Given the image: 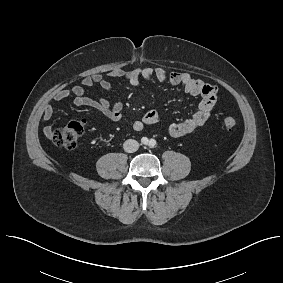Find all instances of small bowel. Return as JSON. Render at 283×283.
<instances>
[{
    "label": "small bowel",
    "instance_id": "obj_1",
    "mask_svg": "<svg viewBox=\"0 0 283 283\" xmlns=\"http://www.w3.org/2000/svg\"><path fill=\"white\" fill-rule=\"evenodd\" d=\"M110 78L127 80L131 85L138 86L143 80L156 79L159 82L168 83L173 86H181L184 90L193 96H199V102L194 114L179 123H173L168 127V132L173 137H180L190 134L202 127L210 118L213 108L218 100V89L215 85L209 84L198 79L188 72L173 71L168 72L163 67H139L132 70L114 69L107 74ZM99 85L106 91H112L111 82L102 74H94L85 77L81 81V85L72 87L69 90L58 91L54 99L63 101L70 97L76 106H89L99 110L107 118L112 121L119 122L124 120L123 105L121 102H110L105 99H93L86 95L85 88ZM54 115V107L51 104L44 106L42 118L45 121L50 120ZM159 113L156 110L147 111L141 119L133 120L130 125L135 131H142L147 126L158 123ZM45 134L50 135L51 127L45 128Z\"/></svg>",
    "mask_w": 283,
    "mask_h": 283
}]
</instances>
